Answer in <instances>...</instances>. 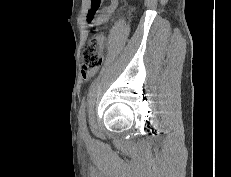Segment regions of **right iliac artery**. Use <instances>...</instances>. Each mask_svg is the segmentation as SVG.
I'll return each instance as SVG.
<instances>
[{"mask_svg":"<svg viewBox=\"0 0 231 177\" xmlns=\"http://www.w3.org/2000/svg\"><path fill=\"white\" fill-rule=\"evenodd\" d=\"M79 124L83 134L87 132L86 117H85V103L83 102L79 110Z\"/></svg>","mask_w":231,"mask_h":177,"instance_id":"obj_1","label":"right iliac artery"}]
</instances>
